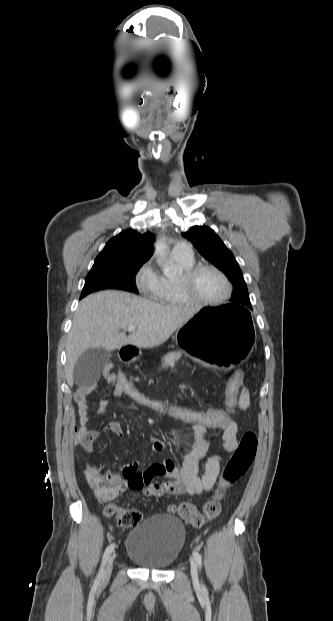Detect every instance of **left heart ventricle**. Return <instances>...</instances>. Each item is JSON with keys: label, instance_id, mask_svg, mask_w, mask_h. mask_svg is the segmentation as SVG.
Masks as SVG:
<instances>
[{"label": "left heart ventricle", "instance_id": "b2bd125f", "mask_svg": "<svg viewBox=\"0 0 333 621\" xmlns=\"http://www.w3.org/2000/svg\"><path fill=\"white\" fill-rule=\"evenodd\" d=\"M226 290L223 279L213 271L201 272L194 282V293L203 300H218L224 296Z\"/></svg>", "mask_w": 333, "mask_h": 621}]
</instances>
